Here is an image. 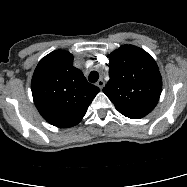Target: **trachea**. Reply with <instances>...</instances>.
<instances>
[{
  "label": "trachea",
  "mask_w": 187,
  "mask_h": 187,
  "mask_svg": "<svg viewBox=\"0 0 187 187\" xmlns=\"http://www.w3.org/2000/svg\"><path fill=\"white\" fill-rule=\"evenodd\" d=\"M99 78V74L97 71H92L90 74H89V77H88V80L91 82V83H95L97 82Z\"/></svg>",
  "instance_id": "3493384b"
}]
</instances>
